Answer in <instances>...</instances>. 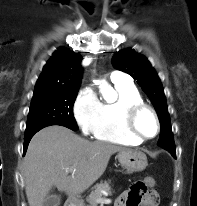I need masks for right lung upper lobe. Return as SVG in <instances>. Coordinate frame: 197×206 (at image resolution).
Segmentation results:
<instances>
[{
	"label": "right lung upper lobe",
	"mask_w": 197,
	"mask_h": 206,
	"mask_svg": "<svg viewBox=\"0 0 197 206\" xmlns=\"http://www.w3.org/2000/svg\"><path fill=\"white\" fill-rule=\"evenodd\" d=\"M81 60V55L67 48H59L44 66L36 82L35 91L79 89Z\"/></svg>",
	"instance_id": "right-lung-upper-lobe-1"
}]
</instances>
